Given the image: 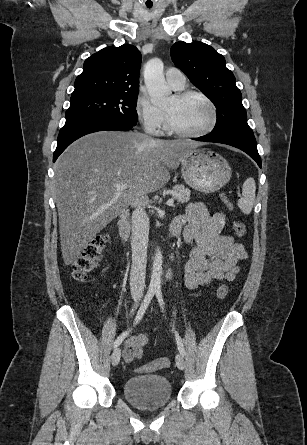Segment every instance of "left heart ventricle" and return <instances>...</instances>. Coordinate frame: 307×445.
I'll list each match as a JSON object with an SVG mask.
<instances>
[{"mask_svg":"<svg viewBox=\"0 0 307 445\" xmlns=\"http://www.w3.org/2000/svg\"><path fill=\"white\" fill-rule=\"evenodd\" d=\"M163 111L174 127L185 132L206 128L212 118L209 106L198 98L181 100L173 95L164 103Z\"/></svg>","mask_w":307,"mask_h":445,"instance_id":"obj_1","label":"left heart ventricle"}]
</instances>
